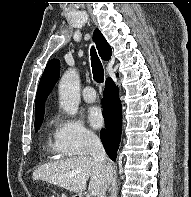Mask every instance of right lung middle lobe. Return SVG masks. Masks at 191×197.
Returning a JSON list of instances; mask_svg holds the SVG:
<instances>
[{"mask_svg":"<svg viewBox=\"0 0 191 197\" xmlns=\"http://www.w3.org/2000/svg\"><path fill=\"white\" fill-rule=\"evenodd\" d=\"M40 125H41V121H40L39 123H36V124H35V131H36V132L38 131Z\"/></svg>","mask_w":191,"mask_h":197,"instance_id":"dd1d6c3e","label":"right lung middle lobe"}]
</instances>
